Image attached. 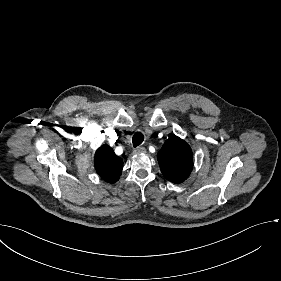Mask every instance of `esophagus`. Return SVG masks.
<instances>
[{
	"instance_id": "34e87169",
	"label": "esophagus",
	"mask_w": 281,
	"mask_h": 281,
	"mask_svg": "<svg viewBox=\"0 0 281 281\" xmlns=\"http://www.w3.org/2000/svg\"><path fill=\"white\" fill-rule=\"evenodd\" d=\"M135 153H146V148L143 146L137 147L134 150Z\"/></svg>"
}]
</instances>
